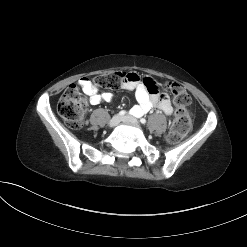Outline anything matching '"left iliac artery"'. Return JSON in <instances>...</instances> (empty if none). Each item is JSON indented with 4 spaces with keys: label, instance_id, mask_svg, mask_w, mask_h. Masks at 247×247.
I'll list each match as a JSON object with an SVG mask.
<instances>
[{
    "label": "left iliac artery",
    "instance_id": "obj_1",
    "mask_svg": "<svg viewBox=\"0 0 247 247\" xmlns=\"http://www.w3.org/2000/svg\"><path fill=\"white\" fill-rule=\"evenodd\" d=\"M140 122H141L142 124H145V123H146V119H145V118H141V119H140Z\"/></svg>",
    "mask_w": 247,
    "mask_h": 247
}]
</instances>
